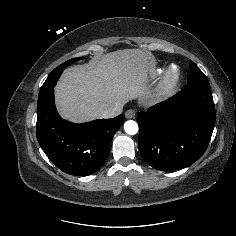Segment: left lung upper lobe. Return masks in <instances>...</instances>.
Instances as JSON below:
<instances>
[{
  "label": "left lung upper lobe",
  "mask_w": 236,
  "mask_h": 236,
  "mask_svg": "<svg viewBox=\"0 0 236 236\" xmlns=\"http://www.w3.org/2000/svg\"><path fill=\"white\" fill-rule=\"evenodd\" d=\"M208 81L204 73L199 69V67L190 60V75L188 77V83L203 82Z\"/></svg>",
  "instance_id": "1"
}]
</instances>
